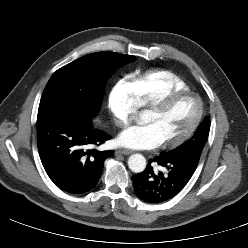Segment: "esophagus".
Listing matches in <instances>:
<instances>
[{
    "instance_id": "esophagus-1",
    "label": "esophagus",
    "mask_w": 248,
    "mask_h": 248,
    "mask_svg": "<svg viewBox=\"0 0 248 248\" xmlns=\"http://www.w3.org/2000/svg\"><path fill=\"white\" fill-rule=\"evenodd\" d=\"M131 151L126 150V149H119L115 151V154H123V155H129Z\"/></svg>"
}]
</instances>
